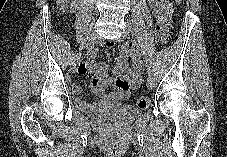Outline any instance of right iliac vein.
Here are the masks:
<instances>
[{
	"label": "right iliac vein",
	"mask_w": 227,
	"mask_h": 157,
	"mask_svg": "<svg viewBox=\"0 0 227 157\" xmlns=\"http://www.w3.org/2000/svg\"><path fill=\"white\" fill-rule=\"evenodd\" d=\"M98 40H99V36L96 33H92L88 42L85 45V49L89 51L90 48L94 47V45L98 42ZM80 57H81V54L79 53V55H77L71 63V68L73 71L76 70V66Z\"/></svg>",
	"instance_id": "63e3f726"
}]
</instances>
